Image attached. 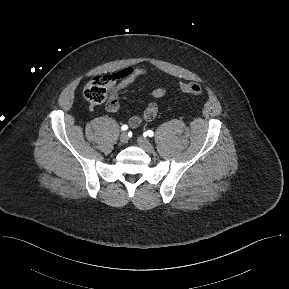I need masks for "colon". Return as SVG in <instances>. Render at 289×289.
Wrapping results in <instances>:
<instances>
[{
  "label": "colon",
  "mask_w": 289,
  "mask_h": 289,
  "mask_svg": "<svg viewBox=\"0 0 289 289\" xmlns=\"http://www.w3.org/2000/svg\"><path fill=\"white\" fill-rule=\"evenodd\" d=\"M111 83L110 76H98L89 81L84 88V96L91 104H106L108 110H114L117 107L116 101L109 97L108 90ZM181 91L185 94L200 96L203 94V88L200 84L189 82L181 85Z\"/></svg>",
  "instance_id": "5ec220e1"
}]
</instances>
